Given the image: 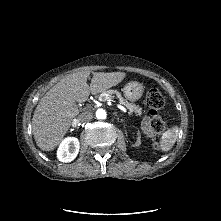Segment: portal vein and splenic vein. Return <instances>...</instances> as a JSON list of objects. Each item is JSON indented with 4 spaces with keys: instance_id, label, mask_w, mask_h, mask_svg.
<instances>
[{
    "instance_id": "18ae733b",
    "label": "portal vein and splenic vein",
    "mask_w": 221,
    "mask_h": 221,
    "mask_svg": "<svg viewBox=\"0 0 221 221\" xmlns=\"http://www.w3.org/2000/svg\"><path fill=\"white\" fill-rule=\"evenodd\" d=\"M99 100L100 101H102V99L101 98H99ZM105 100H111V98H109V97H107ZM117 107L121 110V111H123V112H127V110H126V108L125 107H123L122 105H120V104H117Z\"/></svg>"
}]
</instances>
